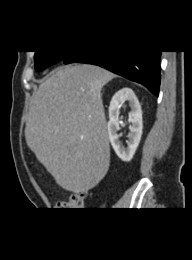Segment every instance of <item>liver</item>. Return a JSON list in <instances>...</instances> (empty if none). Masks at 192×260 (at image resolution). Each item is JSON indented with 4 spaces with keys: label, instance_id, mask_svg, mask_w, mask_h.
Returning <instances> with one entry per match:
<instances>
[{
    "label": "liver",
    "instance_id": "1",
    "mask_svg": "<svg viewBox=\"0 0 192 260\" xmlns=\"http://www.w3.org/2000/svg\"><path fill=\"white\" fill-rule=\"evenodd\" d=\"M114 77L96 65H69L41 83L32 99L26 143L67 191L87 192L109 169L101 89Z\"/></svg>",
    "mask_w": 192,
    "mask_h": 260
}]
</instances>
